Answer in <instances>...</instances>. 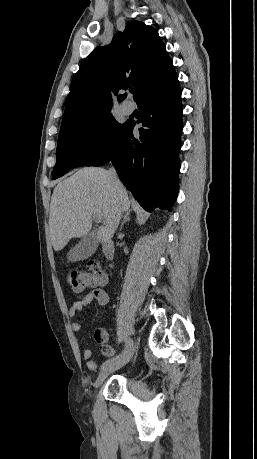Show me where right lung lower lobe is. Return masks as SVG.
<instances>
[{"instance_id":"1","label":"right lung lower lobe","mask_w":257,"mask_h":459,"mask_svg":"<svg viewBox=\"0 0 257 459\" xmlns=\"http://www.w3.org/2000/svg\"><path fill=\"white\" fill-rule=\"evenodd\" d=\"M141 116L140 137L133 136L135 122L126 126L111 150L86 166L112 161L126 188L148 212L171 211L180 168L182 103L178 75L174 73L136 101Z\"/></svg>"}]
</instances>
